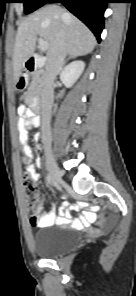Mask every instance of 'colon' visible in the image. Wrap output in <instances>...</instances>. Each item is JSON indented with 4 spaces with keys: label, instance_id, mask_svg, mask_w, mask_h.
<instances>
[{
    "label": "colon",
    "instance_id": "5ec220e1",
    "mask_svg": "<svg viewBox=\"0 0 136 296\" xmlns=\"http://www.w3.org/2000/svg\"><path fill=\"white\" fill-rule=\"evenodd\" d=\"M23 175L22 189L26 198V207L28 212L32 215L31 220L35 222L40 200L38 198L36 185L30 173L29 167H25L23 169Z\"/></svg>",
    "mask_w": 136,
    "mask_h": 296
}]
</instances>
